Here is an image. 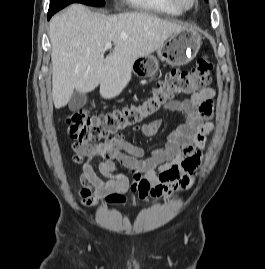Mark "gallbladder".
<instances>
[{
  "instance_id": "obj_1",
  "label": "gallbladder",
  "mask_w": 265,
  "mask_h": 269,
  "mask_svg": "<svg viewBox=\"0 0 265 269\" xmlns=\"http://www.w3.org/2000/svg\"><path fill=\"white\" fill-rule=\"evenodd\" d=\"M86 102L87 95L75 90L69 100L68 106L71 111H77L81 109L86 104Z\"/></svg>"
}]
</instances>
